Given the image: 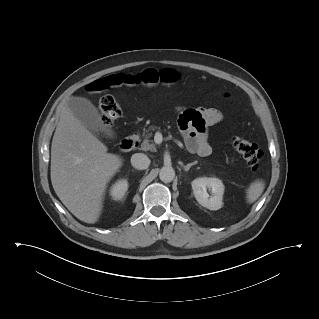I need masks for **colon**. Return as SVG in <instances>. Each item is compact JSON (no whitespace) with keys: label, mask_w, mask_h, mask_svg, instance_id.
Here are the masks:
<instances>
[{"label":"colon","mask_w":319,"mask_h":319,"mask_svg":"<svg viewBox=\"0 0 319 319\" xmlns=\"http://www.w3.org/2000/svg\"><path fill=\"white\" fill-rule=\"evenodd\" d=\"M99 110L101 120L104 125H111L116 119L121 116V106L116 98L111 95L103 96L99 101ZM233 147L240 153L245 160L247 166L255 171L258 169L263 153L260 148L245 139L233 137L231 139Z\"/></svg>","instance_id":"colon-1"}]
</instances>
